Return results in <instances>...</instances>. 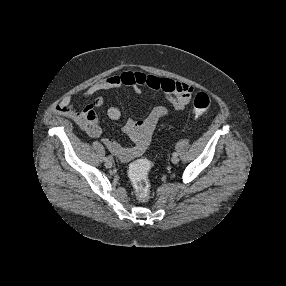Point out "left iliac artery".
Returning a JSON list of instances; mask_svg holds the SVG:
<instances>
[{"instance_id":"obj_1","label":"left iliac artery","mask_w":286,"mask_h":286,"mask_svg":"<svg viewBox=\"0 0 286 286\" xmlns=\"http://www.w3.org/2000/svg\"><path fill=\"white\" fill-rule=\"evenodd\" d=\"M173 156H178V154L176 152L173 153Z\"/></svg>"}]
</instances>
